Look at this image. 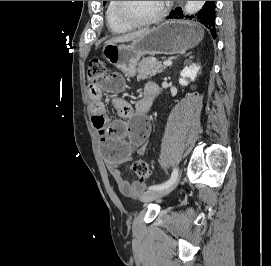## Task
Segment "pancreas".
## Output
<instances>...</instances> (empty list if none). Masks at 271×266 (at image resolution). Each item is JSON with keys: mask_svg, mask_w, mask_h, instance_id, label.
I'll return each mask as SVG.
<instances>
[{"mask_svg": "<svg viewBox=\"0 0 271 266\" xmlns=\"http://www.w3.org/2000/svg\"><path fill=\"white\" fill-rule=\"evenodd\" d=\"M166 67L153 57L143 58L138 64V76L148 77L162 73Z\"/></svg>", "mask_w": 271, "mask_h": 266, "instance_id": "pancreas-1", "label": "pancreas"}]
</instances>
